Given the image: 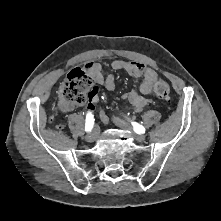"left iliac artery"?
Here are the masks:
<instances>
[{
  "mask_svg": "<svg viewBox=\"0 0 221 221\" xmlns=\"http://www.w3.org/2000/svg\"><path fill=\"white\" fill-rule=\"evenodd\" d=\"M132 125H133V129L136 133H138V134H144L145 133L146 129L141 124H139L137 122H132Z\"/></svg>",
  "mask_w": 221,
  "mask_h": 221,
  "instance_id": "44dca946",
  "label": "left iliac artery"
}]
</instances>
